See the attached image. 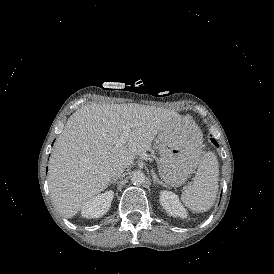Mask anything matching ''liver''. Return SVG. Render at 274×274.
Masks as SVG:
<instances>
[{
  "instance_id": "1",
  "label": "liver",
  "mask_w": 274,
  "mask_h": 274,
  "mask_svg": "<svg viewBox=\"0 0 274 274\" xmlns=\"http://www.w3.org/2000/svg\"><path fill=\"white\" fill-rule=\"evenodd\" d=\"M184 119L190 121L168 108L138 103L82 106L67 120L52 152L48 183L53 202L65 217L76 216L116 178L118 165H133L157 134L170 136ZM128 125L126 144H117Z\"/></svg>"
}]
</instances>
